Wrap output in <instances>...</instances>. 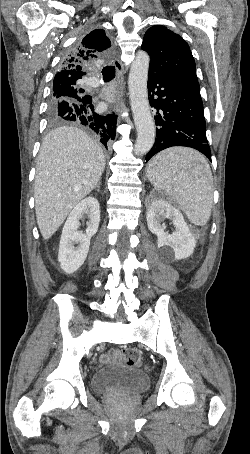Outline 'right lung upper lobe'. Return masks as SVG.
<instances>
[{
    "label": "right lung upper lobe",
    "instance_id": "obj_1",
    "mask_svg": "<svg viewBox=\"0 0 250 454\" xmlns=\"http://www.w3.org/2000/svg\"><path fill=\"white\" fill-rule=\"evenodd\" d=\"M111 46L103 29H96L86 35L78 46L70 51L56 73L53 85L77 83L84 75V67L91 64L100 52Z\"/></svg>",
    "mask_w": 250,
    "mask_h": 454
}]
</instances>
